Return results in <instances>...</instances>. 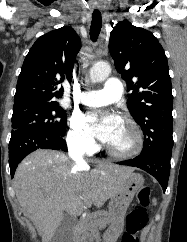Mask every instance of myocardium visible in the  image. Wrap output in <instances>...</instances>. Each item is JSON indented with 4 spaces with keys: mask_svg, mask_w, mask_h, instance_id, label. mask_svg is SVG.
<instances>
[{
    "mask_svg": "<svg viewBox=\"0 0 187 242\" xmlns=\"http://www.w3.org/2000/svg\"><path fill=\"white\" fill-rule=\"evenodd\" d=\"M119 119L121 121H123L124 123L128 124L135 135V145L133 148H131L130 150L127 151H119L116 149L111 148L109 145L106 146V150L107 152L114 156V157H118V158H130V157H134L138 154L141 153V151L143 150L144 147V134L143 131L140 127V125L130 116L128 115H121L119 117Z\"/></svg>",
    "mask_w": 187,
    "mask_h": 242,
    "instance_id": "obj_1",
    "label": "myocardium"
}]
</instances>
